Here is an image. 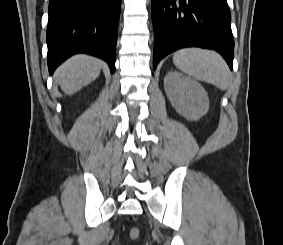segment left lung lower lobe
I'll return each mask as SVG.
<instances>
[{
  "mask_svg": "<svg viewBox=\"0 0 283 245\" xmlns=\"http://www.w3.org/2000/svg\"><path fill=\"white\" fill-rule=\"evenodd\" d=\"M153 68L184 47L219 52L233 68L234 39L226 0H152Z\"/></svg>",
  "mask_w": 283,
  "mask_h": 245,
  "instance_id": "1",
  "label": "left lung lower lobe"
}]
</instances>
